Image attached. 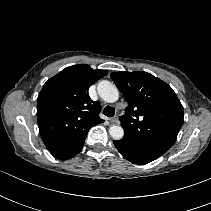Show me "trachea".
I'll use <instances>...</instances> for the list:
<instances>
[{
	"label": "trachea",
	"mask_w": 211,
	"mask_h": 211,
	"mask_svg": "<svg viewBox=\"0 0 211 211\" xmlns=\"http://www.w3.org/2000/svg\"><path fill=\"white\" fill-rule=\"evenodd\" d=\"M103 114L107 117H113L115 115V109L111 106H106L103 110Z\"/></svg>",
	"instance_id": "1"
}]
</instances>
